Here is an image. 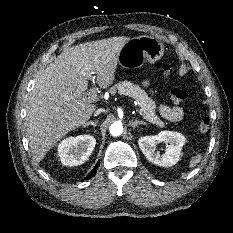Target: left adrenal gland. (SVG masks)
Instances as JSON below:
<instances>
[{
  "label": "left adrenal gland",
  "instance_id": "1",
  "mask_svg": "<svg viewBox=\"0 0 233 233\" xmlns=\"http://www.w3.org/2000/svg\"><path fill=\"white\" fill-rule=\"evenodd\" d=\"M130 124H131V126L133 127V128H136L138 125H140V124H146L145 122H143V121H139V120H131L130 121Z\"/></svg>",
  "mask_w": 233,
  "mask_h": 233
}]
</instances>
